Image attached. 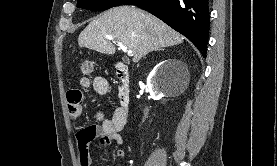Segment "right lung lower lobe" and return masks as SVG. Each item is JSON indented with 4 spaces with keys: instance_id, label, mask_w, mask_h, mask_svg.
<instances>
[{
    "instance_id": "1",
    "label": "right lung lower lobe",
    "mask_w": 277,
    "mask_h": 166,
    "mask_svg": "<svg viewBox=\"0 0 277 166\" xmlns=\"http://www.w3.org/2000/svg\"><path fill=\"white\" fill-rule=\"evenodd\" d=\"M155 15L186 36L206 57L209 37L208 0H124Z\"/></svg>"
}]
</instances>
